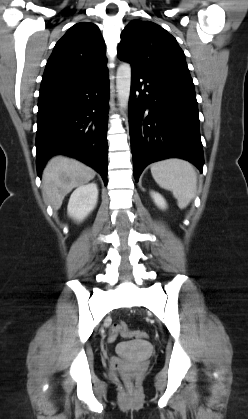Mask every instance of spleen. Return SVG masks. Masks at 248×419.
<instances>
[{
	"label": "spleen",
	"instance_id": "1",
	"mask_svg": "<svg viewBox=\"0 0 248 419\" xmlns=\"http://www.w3.org/2000/svg\"><path fill=\"white\" fill-rule=\"evenodd\" d=\"M151 174L161 188L173 193L179 208H186L195 197L197 175L189 162L177 158L156 162L151 166Z\"/></svg>",
	"mask_w": 248,
	"mask_h": 419
}]
</instances>
